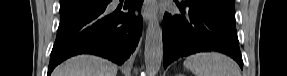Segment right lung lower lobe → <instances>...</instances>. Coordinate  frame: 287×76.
Here are the masks:
<instances>
[{
    "mask_svg": "<svg viewBox=\"0 0 287 76\" xmlns=\"http://www.w3.org/2000/svg\"><path fill=\"white\" fill-rule=\"evenodd\" d=\"M112 0H98L95 7L61 21L51 52L48 75L65 59L82 53L107 58L119 65L134 52L142 32V17L134 15L143 0H126L128 13L108 14Z\"/></svg>",
    "mask_w": 287,
    "mask_h": 76,
    "instance_id": "98d812e1",
    "label": "right lung lower lobe"
}]
</instances>
